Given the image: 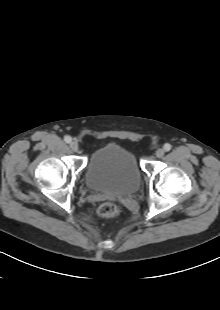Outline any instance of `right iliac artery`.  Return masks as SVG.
<instances>
[{
  "instance_id": "obj_1",
  "label": "right iliac artery",
  "mask_w": 220,
  "mask_h": 310,
  "mask_svg": "<svg viewBox=\"0 0 220 310\" xmlns=\"http://www.w3.org/2000/svg\"><path fill=\"white\" fill-rule=\"evenodd\" d=\"M64 140H65L66 143H70L72 141V138L67 135V136L64 137Z\"/></svg>"
}]
</instances>
